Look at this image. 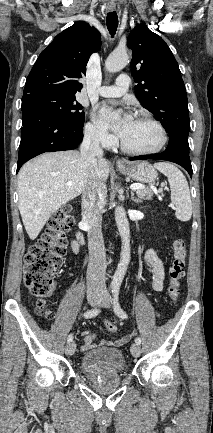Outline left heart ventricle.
<instances>
[{
	"instance_id": "left-heart-ventricle-1",
	"label": "left heart ventricle",
	"mask_w": 213,
	"mask_h": 433,
	"mask_svg": "<svg viewBox=\"0 0 213 433\" xmlns=\"http://www.w3.org/2000/svg\"><path fill=\"white\" fill-rule=\"evenodd\" d=\"M121 139L131 149L146 150L158 143L159 133L153 125L145 121L134 120Z\"/></svg>"
}]
</instances>
